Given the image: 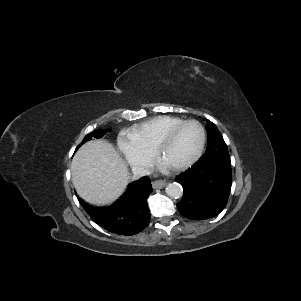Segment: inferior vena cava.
Listing matches in <instances>:
<instances>
[{
    "instance_id": "602c4592",
    "label": "inferior vena cava",
    "mask_w": 301,
    "mask_h": 301,
    "mask_svg": "<svg viewBox=\"0 0 301 301\" xmlns=\"http://www.w3.org/2000/svg\"><path fill=\"white\" fill-rule=\"evenodd\" d=\"M132 172L135 178H140L151 173L149 168L141 165L133 166Z\"/></svg>"
}]
</instances>
